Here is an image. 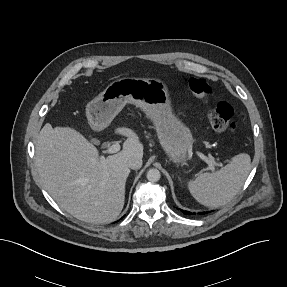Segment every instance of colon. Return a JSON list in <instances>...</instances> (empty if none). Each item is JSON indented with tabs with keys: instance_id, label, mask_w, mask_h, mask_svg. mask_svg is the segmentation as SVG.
<instances>
[{
	"instance_id": "obj_1",
	"label": "colon",
	"mask_w": 287,
	"mask_h": 287,
	"mask_svg": "<svg viewBox=\"0 0 287 287\" xmlns=\"http://www.w3.org/2000/svg\"><path fill=\"white\" fill-rule=\"evenodd\" d=\"M185 83L194 95L207 107V117L216 131L234 132L236 125L232 121V107L227 103H220L216 106L210 105L212 89L204 78H185Z\"/></svg>"
}]
</instances>
